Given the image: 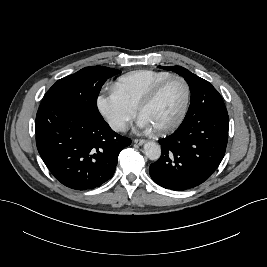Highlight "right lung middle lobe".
<instances>
[{"label": "right lung middle lobe", "instance_id": "dd1d6c3e", "mask_svg": "<svg viewBox=\"0 0 267 267\" xmlns=\"http://www.w3.org/2000/svg\"><path fill=\"white\" fill-rule=\"evenodd\" d=\"M120 71L103 66L86 67L58 80L44 100L66 104L93 117H101L97 97L105 81Z\"/></svg>", "mask_w": 267, "mask_h": 267}]
</instances>
